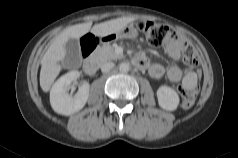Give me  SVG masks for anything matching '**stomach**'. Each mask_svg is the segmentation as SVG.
<instances>
[{
	"mask_svg": "<svg viewBox=\"0 0 238 158\" xmlns=\"http://www.w3.org/2000/svg\"><path fill=\"white\" fill-rule=\"evenodd\" d=\"M138 36V31L133 25H127L124 28L120 29L119 31L110 34L108 36V40L112 39H123V38H136Z\"/></svg>",
	"mask_w": 238,
	"mask_h": 158,
	"instance_id": "1",
	"label": "stomach"
}]
</instances>
